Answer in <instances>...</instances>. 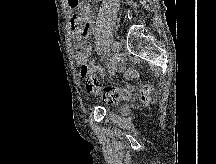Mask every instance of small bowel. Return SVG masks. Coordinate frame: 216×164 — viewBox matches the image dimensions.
Segmentation results:
<instances>
[{"label": "small bowel", "mask_w": 216, "mask_h": 164, "mask_svg": "<svg viewBox=\"0 0 216 164\" xmlns=\"http://www.w3.org/2000/svg\"><path fill=\"white\" fill-rule=\"evenodd\" d=\"M75 26L73 38L76 43L75 61L78 65L89 68L93 73L103 72L95 60L89 59L92 51L87 36L91 33L94 24V16L89 5H85L81 12L72 18Z\"/></svg>", "instance_id": "1"}]
</instances>
